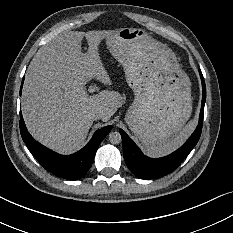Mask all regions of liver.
Masks as SVG:
<instances>
[{"label": "liver", "mask_w": 233, "mask_h": 233, "mask_svg": "<svg viewBox=\"0 0 233 233\" xmlns=\"http://www.w3.org/2000/svg\"><path fill=\"white\" fill-rule=\"evenodd\" d=\"M112 30L69 31L55 36L34 56L26 72L21 96L22 115L33 137L59 152L72 153L84 143L93 124L90 115L101 112L107 122L122 107L119 92L105 89L88 95L86 84L112 80L103 65L99 45ZM86 38L88 50L82 52Z\"/></svg>", "instance_id": "1"}]
</instances>
